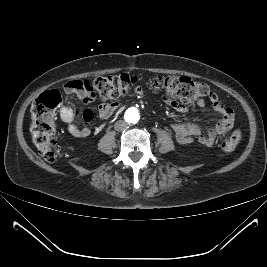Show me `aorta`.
I'll list each match as a JSON object with an SVG mask.
<instances>
[{"label": "aorta", "instance_id": "obj_1", "mask_svg": "<svg viewBox=\"0 0 267 267\" xmlns=\"http://www.w3.org/2000/svg\"><path fill=\"white\" fill-rule=\"evenodd\" d=\"M125 118L129 123H137L139 120V113L137 109H128L125 113Z\"/></svg>", "mask_w": 267, "mask_h": 267}]
</instances>
